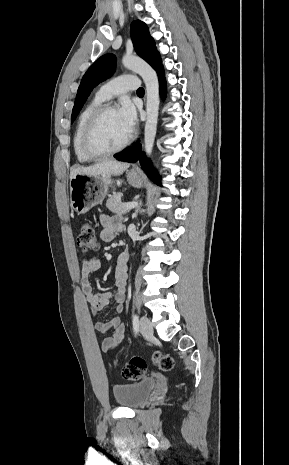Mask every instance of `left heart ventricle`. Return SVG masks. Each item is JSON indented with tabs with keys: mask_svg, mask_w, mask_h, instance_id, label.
Returning a JSON list of instances; mask_svg holds the SVG:
<instances>
[{
	"mask_svg": "<svg viewBox=\"0 0 289 465\" xmlns=\"http://www.w3.org/2000/svg\"><path fill=\"white\" fill-rule=\"evenodd\" d=\"M129 135L124 130L116 110L106 113L99 122L96 141L103 149L121 145Z\"/></svg>",
	"mask_w": 289,
	"mask_h": 465,
	"instance_id": "left-heart-ventricle-1",
	"label": "left heart ventricle"
}]
</instances>
